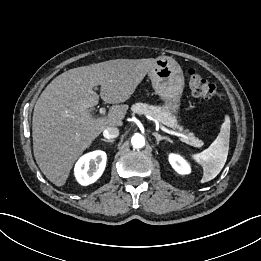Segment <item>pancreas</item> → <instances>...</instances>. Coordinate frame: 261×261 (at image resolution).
Returning <instances> with one entry per match:
<instances>
[{"instance_id":"pancreas-1","label":"pancreas","mask_w":261,"mask_h":261,"mask_svg":"<svg viewBox=\"0 0 261 261\" xmlns=\"http://www.w3.org/2000/svg\"><path fill=\"white\" fill-rule=\"evenodd\" d=\"M131 110L133 113H137L139 115H149L161 124L170 128H179L180 130L182 129L178 127L176 117L172 115V113L165 107L152 106L145 103H136L132 106ZM181 139L183 142L194 147H201L203 145L202 141L198 140L193 133H188L187 139Z\"/></svg>"}]
</instances>
